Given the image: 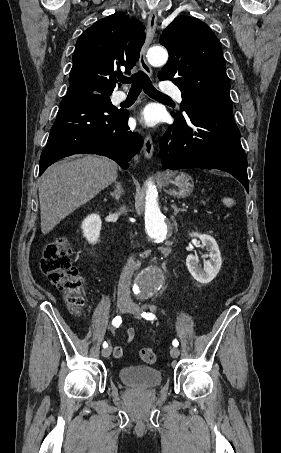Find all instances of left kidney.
<instances>
[{"label": "left kidney", "instance_id": "5707ae66", "mask_svg": "<svg viewBox=\"0 0 281 453\" xmlns=\"http://www.w3.org/2000/svg\"><path fill=\"white\" fill-rule=\"evenodd\" d=\"M190 237H198L202 241L203 247H207L210 251L208 257L209 261H205L204 269L199 267V259L195 255H188L186 259V267L191 273L192 277L202 283V285H207L215 279L217 273H219L222 265V259L219 251V247L210 235H199V233H190Z\"/></svg>", "mask_w": 281, "mask_h": 453}]
</instances>
